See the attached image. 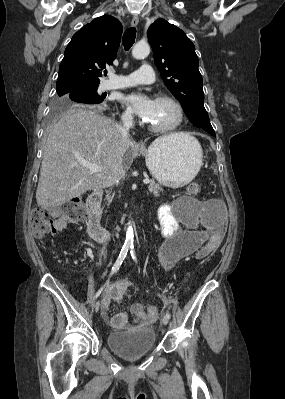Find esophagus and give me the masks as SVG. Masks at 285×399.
Masks as SVG:
<instances>
[{
  "instance_id": "obj_1",
  "label": "esophagus",
  "mask_w": 285,
  "mask_h": 399,
  "mask_svg": "<svg viewBox=\"0 0 285 399\" xmlns=\"http://www.w3.org/2000/svg\"><path fill=\"white\" fill-rule=\"evenodd\" d=\"M138 23H139L138 16L137 15L133 16L132 21H131L132 27H136L138 25ZM137 147L143 149V148H145V144L141 141L137 144Z\"/></svg>"
}]
</instances>
